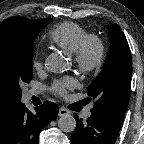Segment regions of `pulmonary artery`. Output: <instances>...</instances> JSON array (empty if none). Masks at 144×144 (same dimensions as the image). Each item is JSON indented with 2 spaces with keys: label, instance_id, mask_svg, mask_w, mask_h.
Listing matches in <instances>:
<instances>
[{
  "label": "pulmonary artery",
  "instance_id": "obj_1",
  "mask_svg": "<svg viewBox=\"0 0 144 144\" xmlns=\"http://www.w3.org/2000/svg\"><path fill=\"white\" fill-rule=\"evenodd\" d=\"M33 93H35V92H33ZM90 116H91V110L88 109V110L85 111L84 117H85V118H88V117H90Z\"/></svg>",
  "mask_w": 144,
  "mask_h": 144
}]
</instances>
